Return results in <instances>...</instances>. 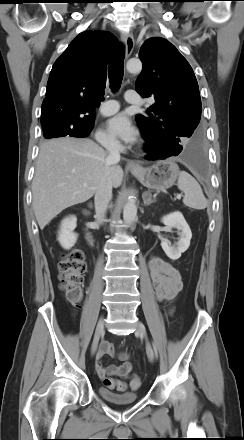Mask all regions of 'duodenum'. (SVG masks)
<instances>
[{
	"instance_id": "obj_1",
	"label": "duodenum",
	"mask_w": 244,
	"mask_h": 440,
	"mask_svg": "<svg viewBox=\"0 0 244 440\" xmlns=\"http://www.w3.org/2000/svg\"><path fill=\"white\" fill-rule=\"evenodd\" d=\"M85 215H88L89 214V211L88 210H84V212H83ZM86 236H87V239H88V241L89 242H93L94 241V236H93V234L90 232V231H87L86 232Z\"/></svg>"
}]
</instances>
